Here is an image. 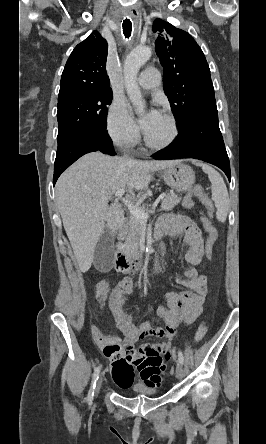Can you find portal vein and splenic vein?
<instances>
[{"label":"portal vein and splenic vein","mask_w":266,"mask_h":444,"mask_svg":"<svg viewBox=\"0 0 266 444\" xmlns=\"http://www.w3.org/2000/svg\"><path fill=\"white\" fill-rule=\"evenodd\" d=\"M125 193V189H121L115 193V197L117 199H120L124 205L128 207L131 214L134 215L136 218L141 220H147L149 217V213L145 212L143 209H141L138 205L134 204L130 200L123 198V195ZM165 194H161L157 200L154 202L152 209L155 210L160 200L164 198Z\"/></svg>","instance_id":"portal-vein-and-splenic-vein-1"}]
</instances>
